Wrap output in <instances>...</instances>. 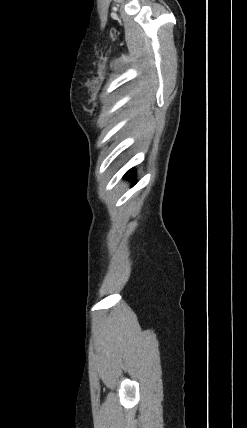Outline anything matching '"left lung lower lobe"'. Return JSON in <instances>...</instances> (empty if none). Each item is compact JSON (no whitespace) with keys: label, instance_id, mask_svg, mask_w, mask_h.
I'll return each mask as SVG.
<instances>
[{"label":"left lung lower lobe","instance_id":"0a47b994","mask_svg":"<svg viewBox=\"0 0 247 428\" xmlns=\"http://www.w3.org/2000/svg\"><path fill=\"white\" fill-rule=\"evenodd\" d=\"M134 175V172H133V169H131V170H129L126 174H125V176L126 177H132Z\"/></svg>","mask_w":247,"mask_h":428}]
</instances>
